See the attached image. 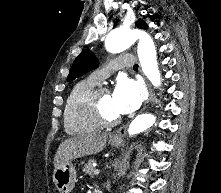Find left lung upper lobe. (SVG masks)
<instances>
[{"mask_svg": "<svg viewBox=\"0 0 221 193\" xmlns=\"http://www.w3.org/2000/svg\"><path fill=\"white\" fill-rule=\"evenodd\" d=\"M136 26L139 28L147 29V25L141 19L136 21ZM98 64L99 63L97 58L90 50L86 49L82 51L75 59L67 77V81H71L76 77L82 76L85 73L96 69Z\"/></svg>", "mask_w": 221, "mask_h": 193, "instance_id": "left-lung-upper-lobe-1", "label": "left lung upper lobe"}]
</instances>
